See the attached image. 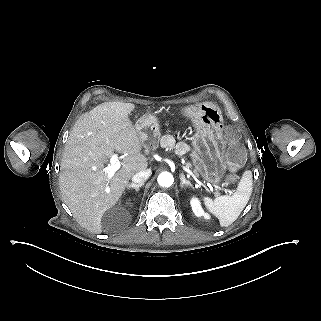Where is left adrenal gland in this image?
<instances>
[{
	"mask_svg": "<svg viewBox=\"0 0 321 321\" xmlns=\"http://www.w3.org/2000/svg\"><path fill=\"white\" fill-rule=\"evenodd\" d=\"M180 178H181V184H180V188H181V189L191 188V189L194 190V187L190 184V182L185 179L184 174H181V175H180Z\"/></svg>",
	"mask_w": 321,
	"mask_h": 321,
	"instance_id": "obj_1",
	"label": "left adrenal gland"
}]
</instances>
